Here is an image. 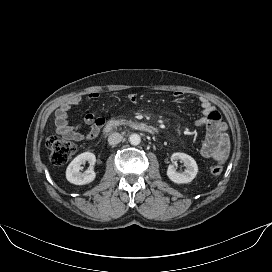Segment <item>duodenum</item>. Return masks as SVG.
<instances>
[{
	"label": "duodenum",
	"mask_w": 272,
	"mask_h": 272,
	"mask_svg": "<svg viewBox=\"0 0 272 272\" xmlns=\"http://www.w3.org/2000/svg\"><path fill=\"white\" fill-rule=\"evenodd\" d=\"M119 127H129L131 129H135L142 132H147L151 134L155 133V128L146 123L138 122V121H122V120H116V119L109 120L105 124L103 131L105 133H110Z\"/></svg>",
	"instance_id": "duodenum-1"
}]
</instances>
